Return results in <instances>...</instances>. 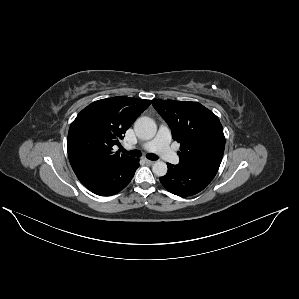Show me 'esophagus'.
Here are the masks:
<instances>
[{"label":"esophagus","instance_id":"1","mask_svg":"<svg viewBox=\"0 0 299 299\" xmlns=\"http://www.w3.org/2000/svg\"><path fill=\"white\" fill-rule=\"evenodd\" d=\"M145 162L148 164V165H152L154 163V161H151V160H148V159H145Z\"/></svg>","mask_w":299,"mask_h":299}]
</instances>
